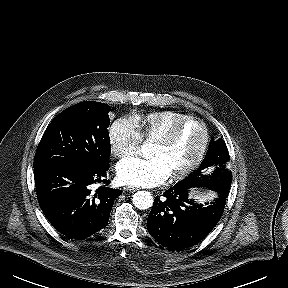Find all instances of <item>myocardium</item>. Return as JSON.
Wrapping results in <instances>:
<instances>
[{"instance_id":"f54148a6","label":"myocardium","mask_w":288,"mask_h":288,"mask_svg":"<svg viewBox=\"0 0 288 288\" xmlns=\"http://www.w3.org/2000/svg\"><path fill=\"white\" fill-rule=\"evenodd\" d=\"M190 122H195L201 126L203 130L202 146L196 158L188 166H186L183 170H181L178 173L171 174V179L174 181L183 180L184 178L188 177L202 163L203 159L205 158V155L207 153L209 143H210L209 128L207 124L200 118L195 117V116H188L174 123L163 134H161L159 137H157L154 140L157 143L168 145L174 140V138L179 133V131Z\"/></svg>"}]
</instances>
